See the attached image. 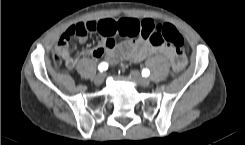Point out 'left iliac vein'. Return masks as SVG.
Returning a JSON list of instances; mask_svg holds the SVG:
<instances>
[{
	"label": "left iliac vein",
	"mask_w": 245,
	"mask_h": 145,
	"mask_svg": "<svg viewBox=\"0 0 245 145\" xmlns=\"http://www.w3.org/2000/svg\"><path fill=\"white\" fill-rule=\"evenodd\" d=\"M130 76L140 86H142V87L150 86V80L147 79V78L142 77L141 74L138 71L133 70L131 72Z\"/></svg>",
	"instance_id": "1"
}]
</instances>
